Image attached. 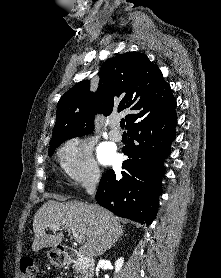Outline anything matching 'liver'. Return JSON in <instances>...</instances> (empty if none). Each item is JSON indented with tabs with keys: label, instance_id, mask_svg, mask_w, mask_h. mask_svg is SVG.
Returning a JSON list of instances; mask_svg holds the SVG:
<instances>
[{
	"label": "liver",
	"instance_id": "6515ba94",
	"mask_svg": "<svg viewBox=\"0 0 221 278\" xmlns=\"http://www.w3.org/2000/svg\"><path fill=\"white\" fill-rule=\"evenodd\" d=\"M60 226V232L47 235L46 229ZM74 228L84 239L79 252L88 257L103 255L123 235V227L118 218L98 205L80 201H47L35 214L32 244L34 252L45 247H57L63 241L61 230ZM52 229V228H51Z\"/></svg>",
	"mask_w": 221,
	"mask_h": 278
}]
</instances>
